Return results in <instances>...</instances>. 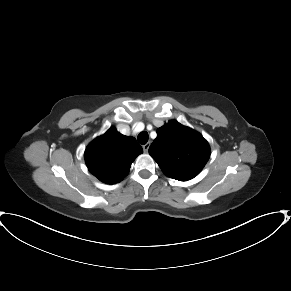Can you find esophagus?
Wrapping results in <instances>:
<instances>
[{
  "mask_svg": "<svg viewBox=\"0 0 291 291\" xmlns=\"http://www.w3.org/2000/svg\"><path fill=\"white\" fill-rule=\"evenodd\" d=\"M149 147H150V143H146L144 146H143V150L145 153H148V150H149Z\"/></svg>",
  "mask_w": 291,
  "mask_h": 291,
  "instance_id": "34e87169",
  "label": "esophagus"
}]
</instances>
